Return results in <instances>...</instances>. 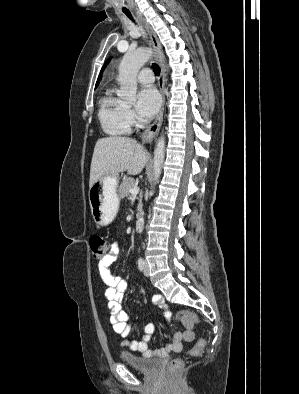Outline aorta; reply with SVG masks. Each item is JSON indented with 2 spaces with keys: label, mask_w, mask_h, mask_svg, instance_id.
<instances>
[{
  "label": "aorta",
  "mask_w": 299,
  "mask_h": 394,
  "mask_svg": "<svg viewBox=\"0 0 299 394\" xmlns=\"http://www.w3.org/2000/svg\"><path fill=\"white\" fill-rule=\"evenodd\" d=\"M152 51L150 49H138L127 52L120 65L118 82L120 90L118 96L128 103L135 101L137 92V74L140 68L150 59ZM165 156V138L161 136L154 151V180L158 182L161 174L162 164Z\"/></svg>",
  "instance_id": "obj_1"
}]
</instances>
